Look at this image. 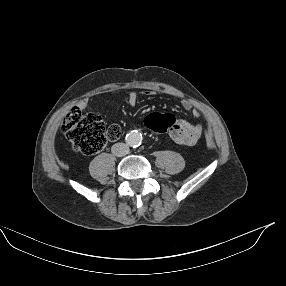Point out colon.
Masks as SVG:
<instances>
[{
  "mask_svg": "<svg viewBox=\"0 0 286 286\" xmlns=\"http://www.w3.org/2000/svg\"><path fill=\"white\" fill-rule=\"evenodd\" d=\"M179 120L172 113L150 112L145 119L146 128L156 136H164L173 129ZM62 131L71 142L73 149L84 155H94L101 151L109 141L121 136V128L117 124H106L94 113H82L72 108L62 122Z\"/></svg>",
  "mask_w": 286,
  "mask_h": 286,
  "instance_id": "colon-1",
  "label": "colon"
}]
</instances>
